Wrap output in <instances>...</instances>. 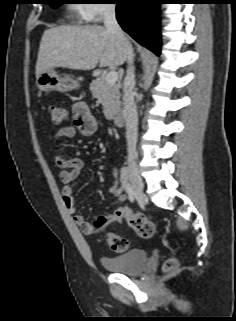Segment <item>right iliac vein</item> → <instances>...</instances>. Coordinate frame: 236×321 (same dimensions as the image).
<instances>
[{"label":"right iliac vein","mask_w":236,"mask_h":321,"mask_svg":"<svg viewBox=\"0 0 236 321\" xmlns=\"http://www.w3.org/2000/svg\"><path fill=\"white\" fill-rule=\"evenodd\" d=\"M129 176L134 189L135 197L138 201L145 203L147 201L146 196L143 193L144 184L139 175V170L134 161L130 160L128 163Z\"/></svg>","instance_id":"right-iliac-vein-1"}]
</instances>
